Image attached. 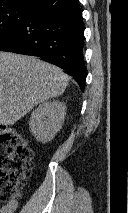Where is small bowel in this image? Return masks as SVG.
I'll use <instances>...</instances> for the list:
<instances>
[{
    "label": "small bowel",
    "instance_id": "1",
    "mask_svg": "<svg viewBox=\"0 0 128 213\" xmlns=\"http://www.w3.org/2000/svg\"><path fill=\"white\" fill-rule=\"evenodd\" d=\"M18 207L16 200H11L0 207V213H15Z\"/></svg>",
    "mask_w": 128,
    "mask_h": 213
}]
</instances>
